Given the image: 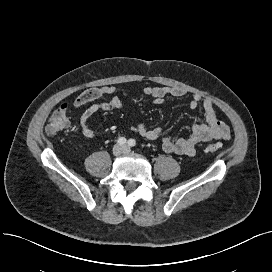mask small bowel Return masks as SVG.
Listing matches in <instances>:
<instances>
[{
  "mask_svg": "<svg viewBox=\"0 0 272 272\" xmlns=\"http://www.w3.org/2000/svg\"><path fill=\"white\" fill-rule=\"evenodd\" d=\"M116 90L115 86H101L87 89L79 95L74 106L81 107L104 97L111 96ZM143 92L146 96L151 97L155 104H161L168 96L183 97L187 95V91L181 87L147 86ZM199 106L203 108L205 122L193 125L190 135L186 138L175 139L172 136L164 137L162 139V148L165 152L193 156L195 155L198 143L212 140H227L230 138V129L226 123L219 119L214 102L210 99H202L198 94L192 95L190 108L194 110ZM62 107L69 109L70 105L64 104ZM122 108V102L117 97L91 104L83 111L78 119V126L82 134L87 138L100 136L101 133L90 126L89 119L98 111L113 112L120 111ZM130 130L149 140H156L162 134L161 128H147L142 123L132 126Z\"/></svg>",
  "mask_w": 272,
  "mask_h": 272,
  "instance_id": "c3829d8e",
  "label": "small bowel"
}]
</instances>
